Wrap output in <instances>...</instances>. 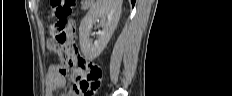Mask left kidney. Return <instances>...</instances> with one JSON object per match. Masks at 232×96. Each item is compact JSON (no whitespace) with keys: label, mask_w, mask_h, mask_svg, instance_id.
<instances>
[{"label":"left kidney","mask_w":232,"mask_h":96,"mask_svg":"<svg viewBox=\"0 0 232 96\" xmlns=\"http://www.w3.org/2000/svg\"><path fill=\"white\" fill-rule=\"evenodd\" d=\"M121 10L122 0H97L92 5L79 27L80 48L86 59L94 60L104 50L118 24ZM96 22L102 31L93 43L90 34Z\"/></svg>","instance_id":"left-kidney-1"}]
</instances>
